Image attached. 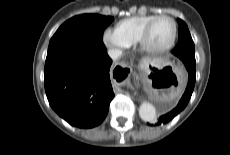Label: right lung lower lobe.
I'll return each instance as SVG.
<instances>
[{"mask_svg":"<svg viewBox=\"0 0 230 155\" xmlns=\"http://www.w3.org/2000/svg\"><path fill=\"white\" fill-rule=\"evenodd\" d=\"M104 50H70L46 58L45 91L53 110L69 124L92 128L106 117L114 97Z\"/></svg>","mask_w":230,"mask_h":155,"instance_id":"98d812e1","label":"right lung lower lobe"}]
</instances>
